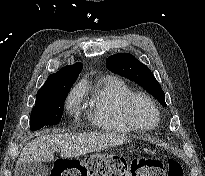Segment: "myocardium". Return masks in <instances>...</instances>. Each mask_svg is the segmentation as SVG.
I'll return each instance as SVG.
<instances>
[{"instance_id": "1", "label": "myocardium", "mask_w": 205, "mask_h": 176, "mask_svg": "<svg viewBox=\"0 0 205 176\" xmlns=\"http://www.w3.org/2000/svg\"><path fill=\"white\" fill-rule=\"evenodd\" d=\"M138 101H144L147 103L155 112L156 114V122L154 125L151 126H144L138 123V121L134 117V106ZM124 116L127 119V121L137 130L140 131H148L152 129L153 127H156L160 121H161V113L156 105V103L153 101L152 98H150L148 95L140 92H135L131 94L124 103Z\"/></svg>"}]
</instances>
